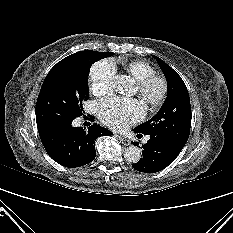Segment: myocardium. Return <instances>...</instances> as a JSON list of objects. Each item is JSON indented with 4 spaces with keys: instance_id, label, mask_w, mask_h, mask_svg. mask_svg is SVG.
<instances>
[{
    "instance_id": "1",
    "label": "myocardium",
    "mask_w": 233,
    "mask_h": 233,
    "mask_svg": "<svg viewBox=\"0 0 233 233\" xmlns=\"http://www.w3.org/2000/svg\"><path fill=\"white\" fill-rule=\"evenodd\" d=\"M138 94L151 109H157L165 101L168 94L166 80L157 75L150 76L137 83Z\"/></svg>"
}]
</instances>
